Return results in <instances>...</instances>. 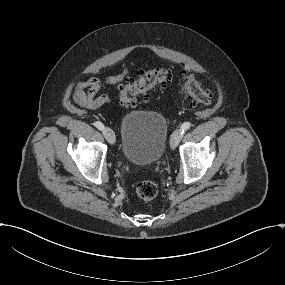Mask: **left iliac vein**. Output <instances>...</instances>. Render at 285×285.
<instances>
[{
	"mask_svg": "<svg viewBox=\"0 0 285 285\" xmlns=\"http://www.w3.org/2000/svg\"><path fill=\"white\" fill-rule=\"evenodd\" d=\"M182 131L181 130H176L172 133L171 139H170V147L174 149L180 142L181 137H182Z\"/></svg>",
	"mask_w": 285,
	"mask_h": 285,
	"instance_id": "obj_1",
	"label": "left iliac vein"
}]
</instances>
